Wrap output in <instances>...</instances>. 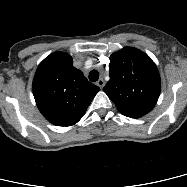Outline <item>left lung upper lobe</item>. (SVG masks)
Wrapping results in <instances>:
<instances>
[{"label":"left lung upper lobe","instance_id":"left-lung-upper-lobe-1","mask_svg":"<svg viewBox=\"0 0 187 187\" xmlns=\"http://www.w3.org/2000/svg\"><path fill=\"white\" fill-rule=\"evenodd\" d=\"M109 76L103 90L124 116L140 118L156 105L161 80L158 68L147 54L133 47L113 53Z\"/></svg>","mask_w":187,"mask_h":187}]
</instances>
